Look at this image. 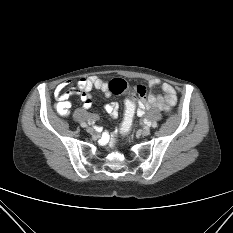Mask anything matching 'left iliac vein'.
<instances>
[{"label": "left iliac vein", "mask_w": 233, "mask_h": 233, "mask_svg": "<svg viewBox=\"0 0 233 233\" xmlns=\"http://www.w3.org/2000/svg\"><path fill=\"white\" fill-rule=\"evenodd\" d=\"M143 136H148L150 134V129L148 127L141 130Z\"/></svg>", "instance_id": "left-iliac-vein-1"}]
</instances>
